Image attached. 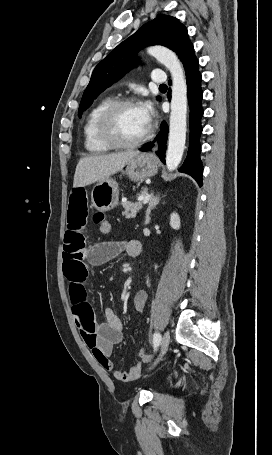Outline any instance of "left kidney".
Segmentation results:
<instances>
[{
  "label": "left kidney",
  "mask_w": 272,
  "mask_h": 455,
  "mask_svg": "<svg viewBox=\"0 0 272 455\" xmlns=\"http://www.w3.org/2000/svg\"><path fill=\"white\" fill-rule=\"evenodd\" d=\"M170 226L173 229H179L180 228V217L177 213H172L170 217Z\"/></svg>",
  "instance_id": "5707ae66"
}]
</instances>
